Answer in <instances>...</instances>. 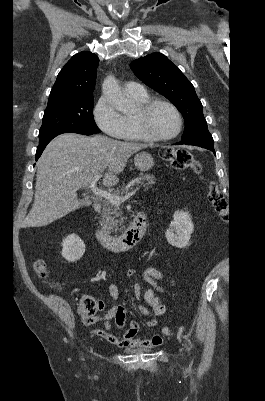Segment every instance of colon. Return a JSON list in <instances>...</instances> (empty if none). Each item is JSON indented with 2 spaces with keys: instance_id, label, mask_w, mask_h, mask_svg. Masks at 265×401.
I'll return each mask as SVG.
<instances>
[{
  "instance_id": "1",
  "label": "colon",
  "mask_w": 265,
  "mask_h": 401,
  "mask_svg": "<svg viewBox=\"0 0 265 401\" xmlns=\"http://www.w3.org/2000/svg\"><path fill=\"white\" fill-rule=\"evenodd\" d=\"M162 157L176 169H192L195 172L200 171V164L192 157V155L181 149L165 148L161 152ZM208 200L214 207L215 211L222 219H225L229 213V205L226 197L220 191L216 183L212 182L208 189ZM34 269L41 278L47 277V270L44 261L36 260ZM55 288H59V284H54ZM102 303L92 296H84L79 302V313L84 318L93 317L98 310H101ZM162 333L171 334V329L164 327Z\"/></svg>"
}]
</instances>
